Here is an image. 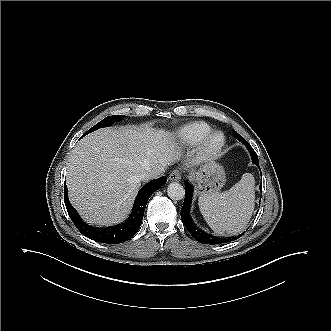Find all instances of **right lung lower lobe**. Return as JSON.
I'll return each mask as SVG.
<instances>
[{
	"label": "right lung lower lobe",
	"mask_w": 331,
	"mask_h": 331,
	"mask_svg": "<svg viewBox=\"0 0 331 331\" xmlns=\"http://www.w3.org/2000/svg\"><path fill=\"white\" fill-rule=\"evenodd\" d=\"M166 181L167 178L163 176L145 184L138 192L130 217L122 224L106 228L91 227L82 221L69 202L66 185L64 187V201L70 218L83 235L101 243L117 244L131 239L136 234L142 223L149 197L163 186Z\"/></svg>",
	"instance_id": "98d812e1"
}]
</instances>
